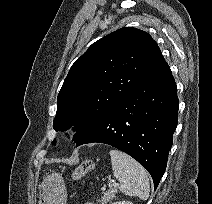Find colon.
Instances as JSON below:
<instances>
[{"mask_svg":"<svg viewBox=\"0 0 212 204\" xmlns=\"http://www.w3.org/2000/svg\"><path fill=\"white\" fill-rule=\"evenodd\" d=\"M94 162L92 160H85L78 165V167L73 172V179L78 180L82 178L85 174L92 171L94 169Z\"/></svg>","mask_w":212,"mask_h":204,"instance_id":"obj_1","label":"colon"}]
</instances>
